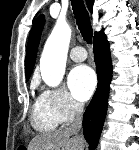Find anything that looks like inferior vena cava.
I'll return each instance as SVG.
<instances>
[{
    "mask_svg": "<svg viewBox=\"0 0 139 150\" xmlns=\"http://www.w3.org/2000/svg\"><path fill=\"white\" fill-rule=\"evenodd\" d=\"M75 109H76V119L75 121L67 128V130L76 135L78 134V132L80 131V129L82 128V115H83V104L81 103H76L75 104Z\"/></svg>",
    "mask_w": 139,
    "mask_h": 150,
    "instance_id": "inferior-vena-cava-1",
    "label": "inferior vena cava"
}]
</instances>
